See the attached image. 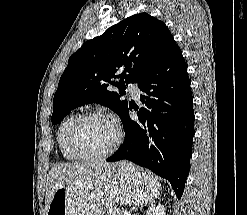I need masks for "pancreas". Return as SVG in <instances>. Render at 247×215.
Returning <instances> with one entry per match:
<instances>
[{"label":"pancreas","mask_w":247,"mask_h":215,"mask_svg":"<svg viewBox=\"0 0 247 215\" xmlns=\"http://www.w3.org/2000/svg\"><path fill=\"white\" fill-rule=\"evenodd\" d=\"M123 211H116V210H108L106 212V215H124Z\"/></svg>","instance_id":"pancreas-1"}]
</instances>
